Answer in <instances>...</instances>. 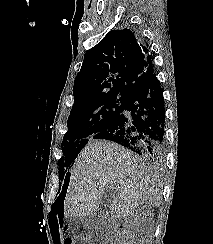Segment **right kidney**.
<instances>
[{"instance_id":"right-kidney-1","label":"right kidney","mask_w":213,"mask_h":244,"mask_svg":"<svg viewBox=\"0 0 213 244\" xmlns=\"http://www.w3.org/2000/svg\"><path fill=\"white\" fill-rule=\"evenodd\" d=\"M138 211H139V210H136V211H135V214H133V216L137 217Z\"/></svg>"}]
</instances>
